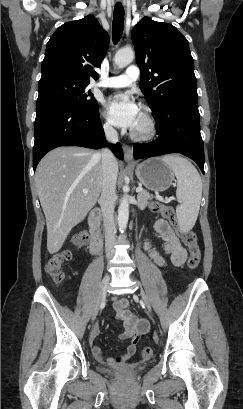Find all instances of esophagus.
Wrapping results in <instances>:
<instances>
[{
  "label": "esophagus",
  "mask_w": 243,
  "mask_h": 409,
  "mask_svg": "<svg viewBox=\"0 0 243 409\" xmlns=\"http://www.w3.org/2000/svg\"><path fill=\"white\" fill-rule=\"evenodd\" d=\"M122 149H123V152H124V159H125V161L132 163V162H133V152H132V149H131L128 145H126V144H123V145H122Z\"/></svg>",
  "instance_id": "obj_1"
}]
</instances>
